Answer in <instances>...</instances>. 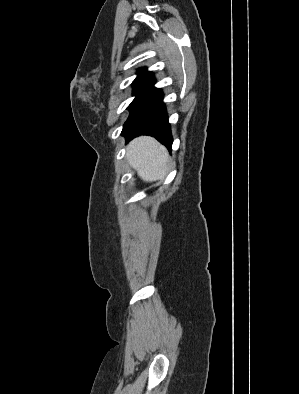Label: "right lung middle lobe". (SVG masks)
I'll return each instance as SVG.
<instances>
[{"label": "right lung middle lobe", "instance_id": "dd1d6c3e", "mask_svg": "<svg viewBox=\"0 0 299 394\" xmlns=\"http://www.w3.org/2000/svg\"><path fill=\"white\" fill-rule=\"evenodd\" d=\"M147 89L145 88H134L133 94L136 96L133 102L130 104L129 108L136 102V100L141 97Z\"/></svg>", "mask_w": 299, "mask_h": 394}]
</instances>
